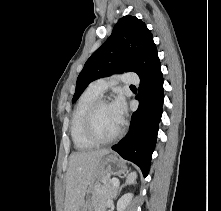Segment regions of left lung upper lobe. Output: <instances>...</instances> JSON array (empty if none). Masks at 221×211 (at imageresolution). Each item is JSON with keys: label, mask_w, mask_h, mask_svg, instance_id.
Returning <instances> with one entry per match:
<instances>
[{"label": "left lung upper lobe", "mask_w": 221, "mask_h": 211, "mask_svg": "<svg viewBox=\"0 0 221 211\" xmlns=\"http://www.w3.org/2000/svg\"><path fill=\"white\" fill-rule=\"evenodd\" d=\"M156 53L153 36L145 23L135 16L121 18L111 36L85 63L77 78L72 102L98 78L124 71H134L139 75Z\"/></svg>", "instance_id": "5c2ea615"}]
</instances>
